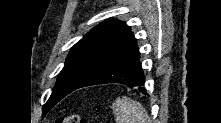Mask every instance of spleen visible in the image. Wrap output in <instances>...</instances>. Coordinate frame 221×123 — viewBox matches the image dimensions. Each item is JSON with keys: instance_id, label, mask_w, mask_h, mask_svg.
I'll return each instance as SVG.
<instances>
[{"instance_id": "1", "label": "spleen", "mask_w": 221, "mask_h": 123, "mask_svg": "<svg viewBox=\"0 0 221 123\" xmlns=\"http://www.w3.org/2000/svg\"><path fill=\"white\" fill-rule=\"evenodd\" d=\"M116 123H150L143 105L133 99L117 98L112 104Z\"/></svg>"}]
</instances>
